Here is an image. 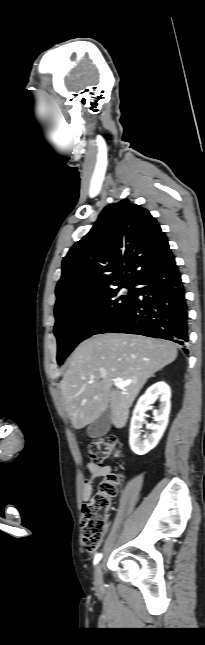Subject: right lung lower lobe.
<instances>
[{
  "mask_svg": "<svg viewBox=\"0 0 205 645\" xmlns=\"http://www.w3.org/2000/svg\"><path fill=\"white\" fill-rule=\"evenodd\" d=\"M132 286L131 303L102 333L139 334L186 347L189 341L188 309L175 258L149 269ZM138 295H143V300Z\"/></svg>",
  "mask_w": 205,
  "mask_h": 645,
  "instance_id": "right-lung-lower-lobe-1",
  "label": "right lung lower lobe"
}]
</instances>
